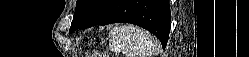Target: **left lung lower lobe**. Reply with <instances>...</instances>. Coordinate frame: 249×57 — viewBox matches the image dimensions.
Listing matches in <instances>:
<instances>
[{
    "label": "left lung lower lobe",
    "mask_w": 249,
    "mask_h": 57,
    "mask_svg": "<svg viewBox=\"0 0 249 57\" xmlns=\"http://www.w3.org/2000/svg\"><path fill=\"white\" fill-rule=\"evenodd\" d=\"M169 0H108L102 8L78 28L115 22H128L150 31L166 47L170 31Z\"/></svg>",
    "instance_id": "1"
}]
</instances>
